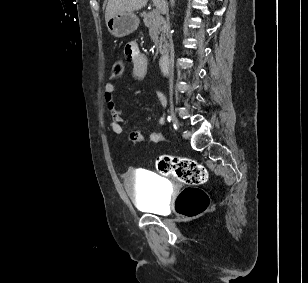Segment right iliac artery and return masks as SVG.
Instances as JSON below:
<instances>
[{"mask_svg":"<svg viewBox=\"0 0 308 283\" xmlns=\"http://www.w3.org/2000/svg\"><path fill=\"white\" fill-rule=\"evenodd\" d=\"M168 121H169V122H171V121H172L171 116H168ZM174 127H176V126L174 125Z\"/></svg>","mask_w":308,"mask_h":283,"instance_id":"obj_1","label":"right iliac artery"}]
</instances>
